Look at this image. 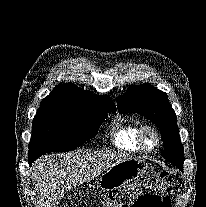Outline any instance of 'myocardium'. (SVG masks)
<instances>
[{
    "label": "myocardium",
    "mask_w": 206,
    "mask_h": 207,
    "mask_svg": "<svg viewBox=\"0 0 206 207\" xmlns=\"http://www.w3.org/2000/svg\"><path fill=\"white\" fill-rule=\"evenodd\" d=\"M151 133L154 138L155 142L153 145L149 146L146 142V134ZM162 138L159 130L149 124H145L141 126L138 130V142L141 148L146 152H152L155 151L161 144Z\"/></svg>",
    "instance_id": "1"
}]
</instances>
